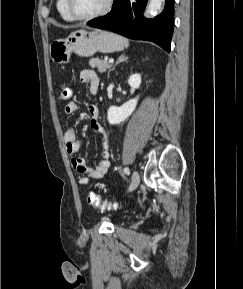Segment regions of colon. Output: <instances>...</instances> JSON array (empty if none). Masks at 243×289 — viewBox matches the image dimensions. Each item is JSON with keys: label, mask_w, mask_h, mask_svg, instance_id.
I'll return each instance as SVG.
<instances>
[{"label": "colon", "mask_w": 243, "mask_h": 289, "mask_svg": "<svg viewBox=\"0 0 243 289\" xmlns=\"http://www.w3.org/2000/svg\"><path fill=\"white\" fill-rule=\"evenodd\" d=\"M71 97V89L69 87H62L59 93V99L61 101H66ZM87 202L89 205L101 209V210H111L116 208V204L100 199L95 193L90 192L87 195Z\"/></svg>", "instance_id": "obj_1"}]
</instances>
